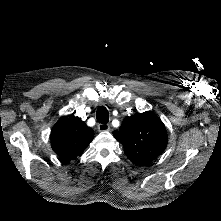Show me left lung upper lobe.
<instances>
[{
    "label": "left lung upper lobe",
    "mask_w": 221,
    "mask_h": 221,
    "mask_svg": "<svg viewBox=\"0 0 221 221\" xmlns=\"http://www.w3.org/2000/svg\"><path fill=\"white\" fill-rule=\"evenodd\" d=\"M113 135L122 143L126 156L136 165L150 164L167 146L163 122L149 111L125 117Z\"/></svg>",
    "instance_id": "1"
}]
</instances>
